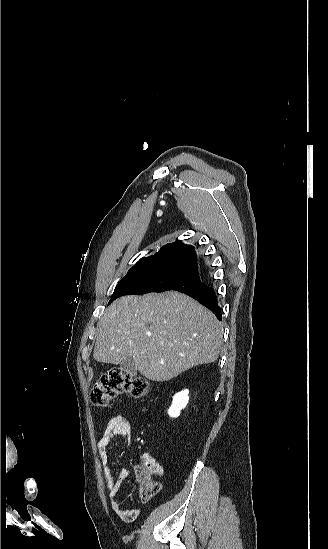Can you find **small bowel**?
<instances>
[{"instance_id":"1","label":"small bowel","mask_w":328,"mask_h":549,"mask_svg":"<svg viewBox=\"0 0 328 549\" xmlns=\"http://www.w3.org/2000/svg\"><path fill=\"white\" fill-rule=\"evenodd\" d=\"M115 437L125 438L128 442V445L129 446L132 445L133 443L132 424L127 416L122 414L113 416L109 420L98 442V453L101 460L104 478H105L106 486L109 492V499H110L111 505L121 517L125 518L128 514L136 513V511L124 509L121 506L120 501L118 499L119 491L123 483L129 477L130 473L128 469H122L120 470L116 478L113 476L108 447L112 439ZM140 460L147 473L151 475H156L158 477L164 476L163 466L150 454L148 453L142 454L140 456ZM161 488H162V485L160 482L151 481L150 492L146 497V499H149L155 496L161 490Z\"/></svg>"}]
</instances>
